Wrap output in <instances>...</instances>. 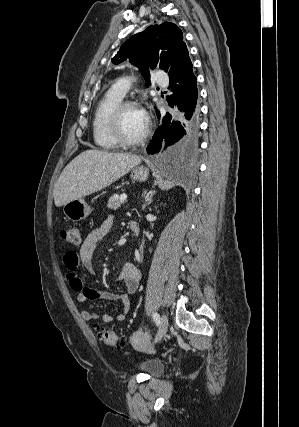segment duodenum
I'll use <instances>...</instances> for the list:
<instances>
[{"mask_svg": "<svg viewBox=\"0 0 299 427\" xmlns=\"http://www.w3.org/2000/svg\"><path fill=\"white\" fill-rule=\"evenodd\" d=\"M129 227L131 229V231L138 236L139 232H140V226L139 223L137 221L134 220H130L129 221Z\"/></svg>", "mask_w": 299, "mask_h": 427, "instance_id": "1", "label": "duodenum"}]
</instances>
